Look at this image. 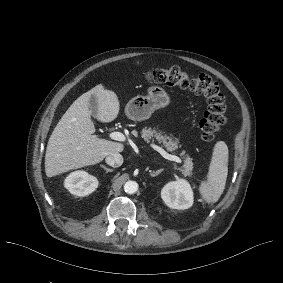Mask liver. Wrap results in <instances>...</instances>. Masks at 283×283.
<instances>
[{
    "label": "liver",
    "instance_id": "1",
    "mask_svg": "<svg viewBox=\"0 0 283 283\" xmlns=\"http://www.w3.org/2000/svg\"><path fill=\"white\" fill-rule=\"evenodd\" d=\"M98 104L96 119L111 122L119 113L117 95L99 84L78 97L54 128L46 149L45 172L53 177L69 170L95 165L112 153L122 152V143L100 139L91 120L89 101Z\"/></svg>",
    "mask_w": 283,
    "mask_h": 283
}]
</instances>
